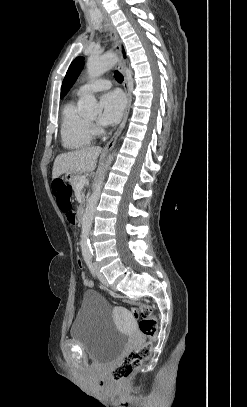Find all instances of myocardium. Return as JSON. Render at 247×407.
Listing matches in <instances>:
<instances>
[{
    "label": "myocardium",
    "mask_w": 247,
    "mask_h": 407,
    "mask_svg": "<svg viewBox=\"0 0 247 407\" xmlns=\"http://www.w3.org/2000/svg\"><path fill=\"white\" fill-rule=\"evenodd\" d=\"M86 121H87V123H88V125H89L90 129H91L93 132H95V131H98V130H99V127H98V125H97V123H96V122L91 121V120H89L88 118H86Z\"/></svg>",
    "instance_id": "myocardium-1"
}]
</instances>
